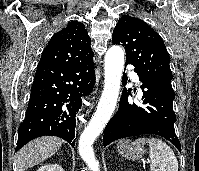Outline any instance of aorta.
<instances>
[{
	"mask_svg": "<svg viewBox=\"0 0 199 171\" xmlns=\"http://www.w3.org/2000/svg\"><path fill=\"white\" fill-rule=\"evenodd\" d=\"M124 66V52L119 46H112L105 55L104 89L96 112L79 139V153L91 171H99V164L95 159L92 144L110 120L115 109L122 71Z\"/></svg>",
	"mask_w": 199,
	"mask_h": 171,
	"instance_id": "obj_1",
	"label": "aorta"
}]
</instances>
